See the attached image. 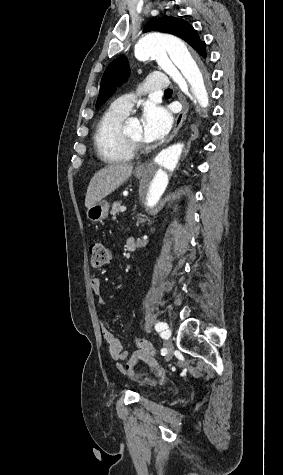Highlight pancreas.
Masks as SVG:
<instances>
[{"instance_id":"1","label":"pancreas","mask_w":283,"mask_h":475,"mask_svg":"<svg viewBox=\"0 0 283 475\" xmlns=\"http://www.w3.org/2000/svg\"><path fill=\"white\" fill-rule=\"evenodd\" d=\"M121 204H122V202H114V204L112 206V210L110 212V214L112 216V220H116V214H117V212H120L119 208H121Z\"/></svg>"}]
</instances>
